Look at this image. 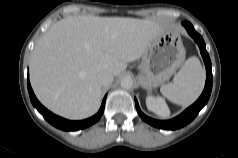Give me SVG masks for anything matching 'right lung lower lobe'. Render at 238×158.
Returning a JSON list of instances; mask_svg holds the SVG:
<instances>
[{
	"label": "right lung lower lobe",
	"mask_w": 238,
	"mask_h": 158,
	"mask_svg": "<svg viewBox=\"0 0 238 158\" xmlns=\"http://www.w3.org/2000/svg\"><path fill=\"white\" fill-rule=\"evenodd\" d=\"M28 91H29V96H30L33 106L43 115V117L50 124H52L53 126L59 128L61 130L74 131V130L84 129V128L94 124L95 122H97L100 119V117L104 111L106 96L104 97V100L102 102L99 112L96 115H94L93 117L86 119V120H82V121L66 120L64 118L54 115L53 113L48 111L45 107H43L40 104V102L37 100V98L35 97V95L33 93V90L30 86L29 81H28Z\"/></svg>",
	"instance_id": "right-lung-lower-lobe-1"
}]
</instances>
